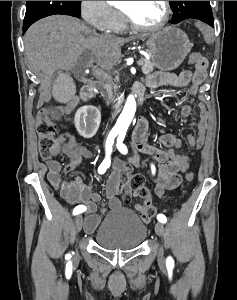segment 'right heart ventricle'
<instances>
[{"label": "right heart ventricle", "mask_w": 237, "mask_h": 300, "mask_svg": "<svg viewBox=\"0 0 237 300\" xmlns=\"http://www.w3.org/2000/svg\"><path fill=\"white\" fill-rule=\"evenodd\" d=\"M126 27V22L124 21V19L120 16V25H119V29L122 30Z\"/></svg>", "instance_id": "e07e8e85"}]
</instances>
